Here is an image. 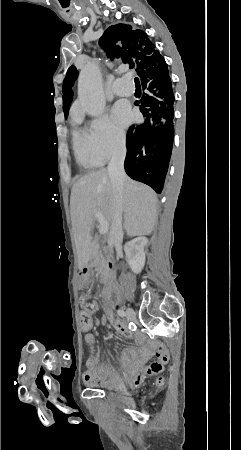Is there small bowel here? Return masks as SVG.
I'll return each instance as SVG.
<instances>
[{
    "mask_svg": "<svg viewBox=\"0 0 241 450\" xmlns=\"http://www.w3.org/2000/svg\"><path fill=\"white\" fill-rule=\"evenodd\" d=\"M85 286L86 285H81V287ZM89 298L90 295L84 296L82 298L83 304ZM112 303L113 302H109L106 299V304ZM82 311L91 312L88 308H84ZM113 325L120 336L129 340L135 339L136 343L139 345V349L128 348L124 350L121 371L106 369L101 365L98 356L94 353V335L91 333L85 334L84 343L90 356L86 362L87 371L84 377L87 379L86 382L90 385H101L113 388L127 382L132 388H138L147 375L158 373L163 369L164 364L168 361V351L163 344H154L153 342L144 339L142 336L132 333L121 320H115ZM152 349L157 350L156 360L148 367H145L144 359H151L155 356V353L151 351Z\"/></svg>",
    "mask_w": 241,
    "mask_h": 450,
    "instance_id": "c3829d8e",
    "label": "small bowel"
}]
</instances>
